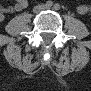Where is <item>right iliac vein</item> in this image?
Here are the masks:
<instances>
[{
	"label": "right iliac vein",
	"mask_w": 91,
	"mask_h": 91,
	"mask_svg": "<svg viewBox=\"0 0 91 91\" xmlns=\"http://www.w3.org/2000/svg\"><path fill=\"white\" fill-rule=\"evenodd\" d=\"M41 9H42V7H41V6H38V7L35 8V11L38 12V11H40Z\"/></svg>",
	"instance_id": "right-iliac-vein-1"
}]
</instances>
